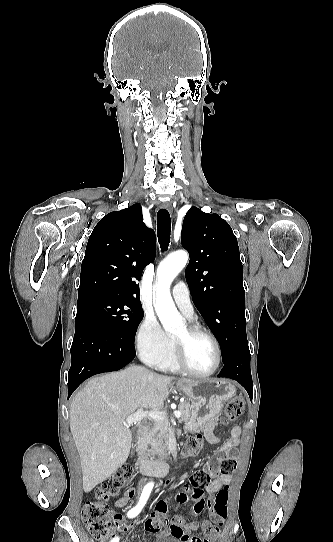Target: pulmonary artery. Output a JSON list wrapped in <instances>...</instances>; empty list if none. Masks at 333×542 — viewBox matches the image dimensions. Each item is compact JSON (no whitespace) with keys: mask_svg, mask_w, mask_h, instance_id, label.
Returning a JSON list of instances; mask_svg holds the SVG:
<instances>
[{"mask_svg":"<svg viewBox=\"0 0 333 542\" xmlns=\"http://www.w3.org/2000/svg\"><path fill=\"white\" fill-rule=\"evenodd\" d=\"M191 288L185 280L179 281V286L171 287V294L178 309L189 319L195 315L194 307L190 298Z\"/></svg>","mask_w":333,"mask_h":542,"instance_id":"obj_1","label":"pulmonary artery"}]
</instances>
